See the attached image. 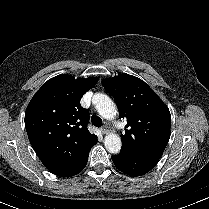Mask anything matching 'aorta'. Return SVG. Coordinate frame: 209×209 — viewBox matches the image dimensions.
I'll return each mask as SVG.
<instances>
[{
	"instance_id": "1",
	"label": "aorta",
	"mask_w": 209,
	"mask_h": 209,
	"mask_svg": "<svg viewBox=\"0 0 209 209\" xmlns=\"http://www.w3.org/2000/svg\"><path fill=\"white\" fill-rule=\"evenodd\" d=\"M93 103L99 115L107 120L113 119L117 110L113 101L105 94L96 93L93 96ZM105 148L108 152L117 154L122 147L121 138L115 133H109L104 139Z\"/></svg>"
}]
</instances>
